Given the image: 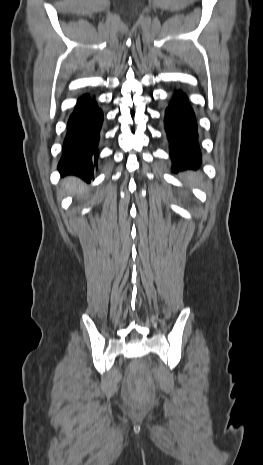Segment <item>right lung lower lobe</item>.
I'll list each match as a JSON object with an SVG mask.
<instances>
[{
	"mask_svg": "<svg viewBox=\"0 0 263 465\" xmlns=\"http://www.w3.org/2000/svg\"><path fill=\"white\" fill-rule=\"evenodd\" d=\"M103 113L95 99L81 97L69 118L62 158L58 169L62 175H77L90 182L97 165L98 142Z\"/></svg>",
	"mask_w": 263,
	"mask_h": 465,
	"instance_id": "right-lung-lower-lobe-1",
	"label": "right lung lower lobe"
}]
</instances>
